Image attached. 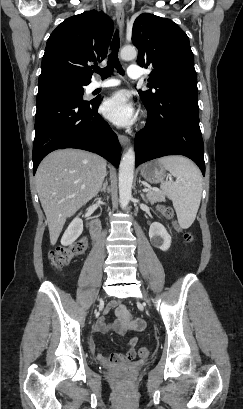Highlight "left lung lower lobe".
Segmentation results:
<instances>
[{"mask_svg": "<svg viewBox=\"0 0 243 409\" xmlns=\"http://www.w3.org/2000/svg\"><path fill=\"white\" fill-rule=\"evenodd\" d=\"M197 92V86L187 85L172 89L153 103L142 100L148 118L146 127L135 139V166L179 154L192 159L205 175Z\"/></svg>", "mask_w": 243, "mask_h": 409, "instance_id": "1", "label": "left lung lower lobe"}]
</instances>
